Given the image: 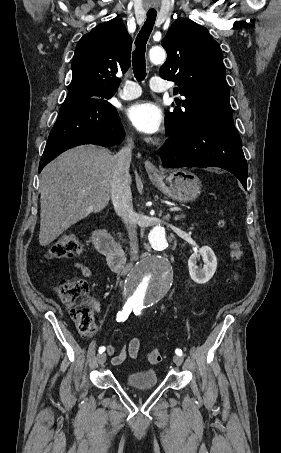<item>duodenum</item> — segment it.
I'll list each match as a JSON object with an SVG mask.
<instances>
[{
  "label": "duodenum",
  "mask_w": 281,
  "mask_h": 453,
  "mask_svg": "<svg viewBox=\"0 0 281 453\" xmlns=\"http://www.w3.org/2000/svg\"><path fill=\"white\" fill-rule=\"evenodd\" d=\"M93 240L100 253L106 256L109 266L113 271H122L125 267L126 256L121 246L105 229H97Z\"/></svg>",
  "instance_id": "1"
}]
</instances>
